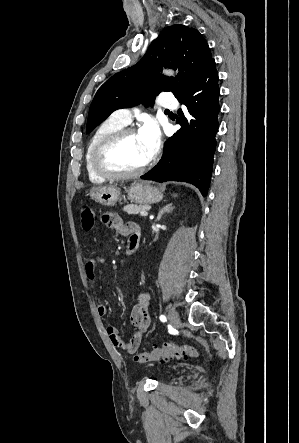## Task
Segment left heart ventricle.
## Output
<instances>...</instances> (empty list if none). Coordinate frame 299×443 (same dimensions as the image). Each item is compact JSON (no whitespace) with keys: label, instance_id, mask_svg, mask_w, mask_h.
Instances as JSON below:
<instances>
[{"label":"left heart ventricle","instance_id":"obj_1","mask_svg":"<svg viewBox=\"0 0 299 443\" xmlns=\"http://www.w3.org/2000/svg\"><path fill=\"white\" fill-rule=\"evenodd\" d=\"M107 158L111 167L119 171L137 169L148 160L138 133L125 137L110 150Z\"/></svg>","mask_w":299,"mask_h":443}]
</instances>
